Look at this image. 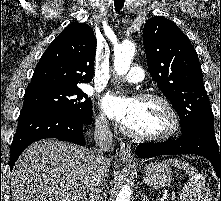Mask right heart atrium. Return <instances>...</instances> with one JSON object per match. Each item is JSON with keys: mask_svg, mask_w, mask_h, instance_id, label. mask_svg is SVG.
<instances>
[{"mask_svg": "<svg viewBox=\"0 0 221 201\" xmlns=\"http://www.w3.org/2000/svg\"><path fill=\"white\" fill-rule=\"evenodd\" d=\"M96 124L100 128H106L108 125L107 119L103 114H98L96 116Z\"/></svg>", "mask_w": 221, "mask_h": 201, "instance_id": "obj_1", "label": "right heart atrium"}]
</instances>
